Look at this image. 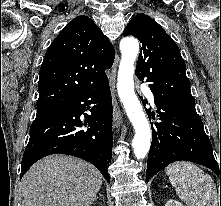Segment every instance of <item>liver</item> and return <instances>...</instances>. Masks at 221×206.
<instances>
[{
	"label": "liver",
	"mask_w": 221,
	"mask_h": 206,
	"mask_svg": "<svg viewBox=\"0 0 221 206\" xmlns=\"http://www.w3.org/2000/svg\"><path fill=\"white\" fill-rule=\"evenodd\" d=\"M96 167L66 155L47 156L24 175L23 206H90L102 186Z\"/></svg>",
	"instance_id": "1"
}]
</instances>
